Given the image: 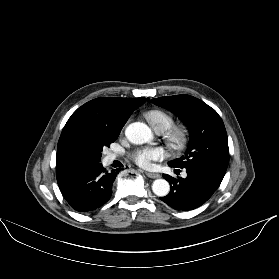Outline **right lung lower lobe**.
<instances>
[{"mask_svg": "<svg viewBox=\"0 0 279 279\" xmlns=\"http://www.w3.org/2000/svg\"><path fill=\"white\" fill-rule=\"evenodd\" d=\"M120 169L106 171L102 164H85L57 175L60 191L70 206L79 212L93 211L112 195V184Z\"/></svg>", "mask_w": 279, "mask_h": 279, "instance_id": "98d812e1", "label": "right lung lower lobe"}]
</instances>
